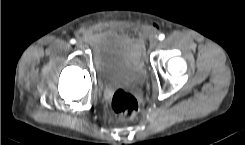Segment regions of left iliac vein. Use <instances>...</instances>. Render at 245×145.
<instances>
[{"instance_id": "obj_1", "label": "left iliac vein", "mask_w": 245, "mask_h": 145, "mask_svg": "<svg viewBox=\"0 0 245 145\" xmlns=\"http://www.w3.org/2000/svg\"><path fill=\"white\" fill-rule=\"evenodd\" d=\"M159 45V40L157 37L153 36L150 40V47L153 49Z\"/></svg>"}]
</instances>
